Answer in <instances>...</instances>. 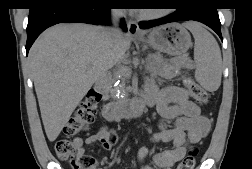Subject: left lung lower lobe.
<instances>
[{"label": "left lung lower lobe", "instance_id": "0a47b994", "mask_svg": "<svg viewBox=\"0 0 252 169\" xmlns=\"http://www.w3.org/2000/svg\"><path fill=\"white\" fill-rule=\"evenodd\" d=\"M194 20L201 22L213 29L222 40L221 23L217 12V6L213 0H195L192 4L184 5L178 10L162 19L140 22L141 29H148L158 25Z\"/></svg>", "mask_w": 252, "mask_h": 169}]
</instances>
